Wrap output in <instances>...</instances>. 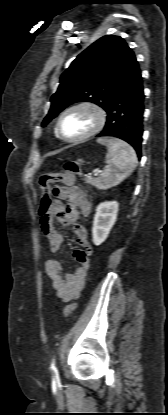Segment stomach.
<instances>
[{
    "instance_id": "0dacf381",
    "label": "stomach",
    "mask_w": 168,
    "mask_h": 415,
    "mask_svg": "<svg viewBox=\"0 0 168 415\" xmlns=\"http://www.w3.org/2000/svg\"><path fill=\"white\" fill-rule=\"evenodd\" d=\"M82 163H83L82 159H79L78 162H77V164H79V165L82 164Z\"/></svg>"
}]
</instances>
